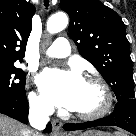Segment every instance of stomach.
Returning <instances> with one entry per match:
<instances>
[{"instance_id": "1", "label": "stomach", "mask_w": 136, "mask_h": 136, "mask_svg": "<svg viewBox=\"0 0 136 136\" xmlns=\"http://www.w3.org/2000/svg\"><path fill=\"white\" fill-rule=\"evenodd\" d=\"M78 136H110V135L98 130H89Z\"/></svg>"}]
</instances>
